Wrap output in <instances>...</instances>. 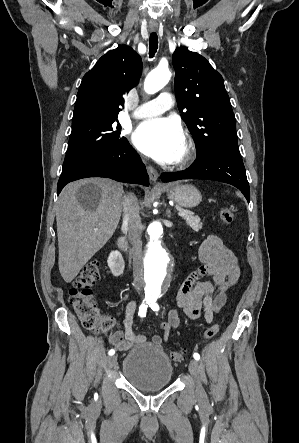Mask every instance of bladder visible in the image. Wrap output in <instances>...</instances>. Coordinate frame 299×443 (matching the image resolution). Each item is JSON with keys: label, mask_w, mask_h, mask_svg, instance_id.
Wrapping results in <instances>:
<instances>
[{"label": "bladder", "mask_w": 299, "mask_h": 443, "mask_svg": "<svg viewBox=\"0 0 299 443\" xmlns=\"http://www.w3.org/2000/svg\"><path fill=\"white\" fill-rule=\"evenodd\" d=\"M173 373L174 368L166 352L161 347L146 344L131 348L122 364L124 378L141 391L167 387Z\"/></svg>", "instance_id": "obj_1"}]
</instances>
